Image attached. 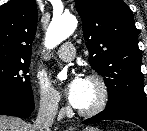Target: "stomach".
I'll use <instances>...</instances> for the list:
<instances>
[{"instance_id":"stomach-1","label":"stomach","mask_w":147,"mask_h":131,"mask_svg":"<svg viewBox=\"0 0 147 131\" xmlns=\"http://www.w3.org/2000/svg\"><path fill=\"white\" fill-rule=\"evenodd\" d=\"M82 131H99L97 128H88V127H86V128H84Z\"/></svg>"}]
</instances>
